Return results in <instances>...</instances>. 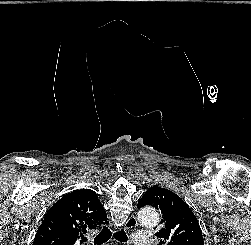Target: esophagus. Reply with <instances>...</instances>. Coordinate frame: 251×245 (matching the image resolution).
<instances>
[{"label":"esophagus","instance_id":"34e87169","mask_svg":"<svg viewBox=\"0 0 251 245\" xmlns=\"http://www.w3.org/2000/svg\"><path fill=\"white\" fill-rule=\"evenodd\" d=\"M137 224H138V222H137L136 217H135L134 215H132V216H130V217L127 219V221H126V223H125V228H126V229H131V228L136 227Z\"/></svg>","mask_w":251,"mask_h":245}]
</instances>
